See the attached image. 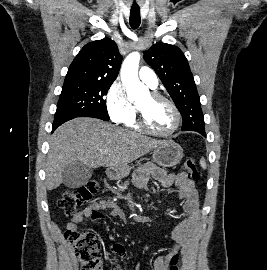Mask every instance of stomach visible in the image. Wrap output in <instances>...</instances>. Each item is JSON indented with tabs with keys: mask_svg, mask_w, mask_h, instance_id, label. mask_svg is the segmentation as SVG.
Listing matches in <instances>:
<instances>
[{
	"mask_svg": "<svg viewBox=\"0 0 267 270\" xmlns=\"http://www.w3.org/2000/svg\"><path fill=\"white\" fill-rule=\"evenodd\" d=\"M183 157V149L173 141H165L162 145L154 149L152 160L161 167H172L180 162ZM142 160L137 162L141 166ZM132 167H112L107 169V175L111 179H122L129 175Z\"/></svg>",
	"mask_w": 267,
	"mask_h": 270,
	"instance_id": "stomach-1",
	"label": "stomach"
}]
</instances>
